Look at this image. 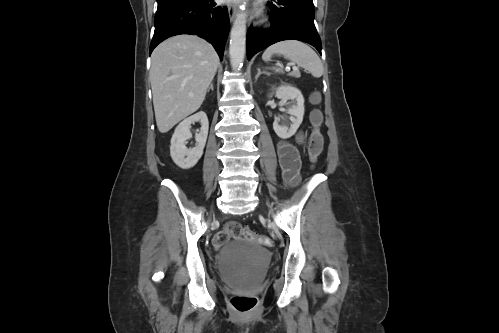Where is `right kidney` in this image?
<instances>
[{
  "label": "right kidney",
  "instance_id": "right-kidney-1",
  "mask_svg": "<svg viewBox=\"0 0 499 333\" xmlns=\"http://www.w3.org/2000/svg\"><path fill=\"white\" fill-rule=\"evenodd\" d=\"M201 123L200 132L195 135L196 146L188 149L185 145L187 139L192 137L191 124ZM209 122L206 113L200 111L184 119L175 129L171 138L170 155L174 163L182 169L194 167L203 155V150L208 136Z\"/></svg>",
  "mask_w": 499,
  "mask_h": 333
}]
</instances>
